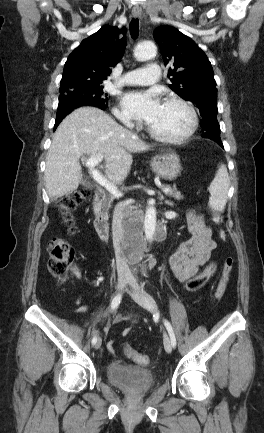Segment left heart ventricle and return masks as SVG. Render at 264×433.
Returning a JSON list of instances; mask_svg holds the SVG:
<instances>
[{"label": "left heart ventricle", "mask_w": 264, "mask_h": 433, "mask_svg": "<svg viewBox=\"0 0 264 433\" xmlns=\"http://www.w3.org/2000/svg\"><path fill=\"white\" fill-rule=\"evenodd\" d=\"M190 116L181 106L172 103H162L156 118L149 126L165 136H179L189 127Z\"/></svg>", "instance_id": "obj_1"}]
</instances>
